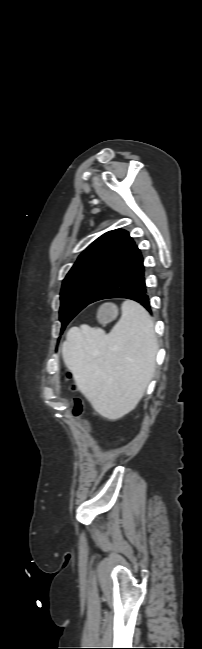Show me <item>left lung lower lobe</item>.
I'll return each instance as SVG.
<instances>
[{
	"mask_svg": "<svg viewBox=\"0 0 202 649\" xmlns=\"http://www.w3.org/2000/svg\"><path fill=\"white\" fill-rule=\"evenodd\" d=\"M144 272L142 254L134 244L123 261L91 299L90 303L109 298H127L137 301L151 313Z\"/></svg>",
	"mask_w": 202,
	"mask_h": 649,
	"instance_id": "1",
	"label": "left lung lower lobe"
}]
</instances>
